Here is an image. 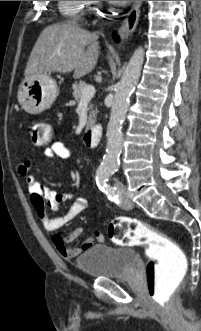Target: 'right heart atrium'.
I'll list each match as a JSON object with an SVG mask.
<instances>
[{
  "mask_svg": "<svg viewBox=\"0 0 201 331\" xmlns=\"http://www.w3.org/2000/svg\"><path fill=\"white\" fill-rule=\"evenodd\" d=\"M89 6H93L98 3V1H85Z\"/></svg>",
  "mask_w": 201,
  "mask_h": 331,
  "instance_id": "1",
  "label": "right heart atrium"
}]
</instances>
